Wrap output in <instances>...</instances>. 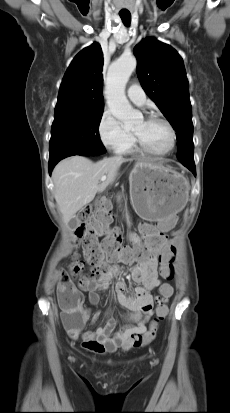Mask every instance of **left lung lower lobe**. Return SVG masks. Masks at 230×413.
Returning a JSON list of instances; mask_svg holds the SVG:
<instances>
[{"mask_svg":"<svg viewBox=\"0 0 230 413\" xmlns=\"http://www.w3.org/2000/svg\"><path fill=\"white\" fill-rule=\"evenodd\" d=\"M183 165H184L185 167H187V168L194 174V176H196L195 163L187 162V163H183Z\"/></svg>","mask_w":230,"mask_h":413,"instance_id":"0a47b994","label":"left lung lower lobe"}]
</instances>
